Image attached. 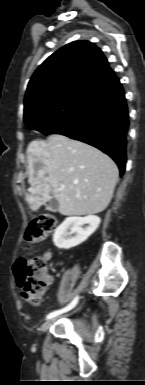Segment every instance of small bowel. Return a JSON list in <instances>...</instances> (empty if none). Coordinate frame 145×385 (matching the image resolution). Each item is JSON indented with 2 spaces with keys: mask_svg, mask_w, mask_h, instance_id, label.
Segmentation results:
<instances>
[{
  "mask_svg": "<svg viewBox=\"0 0 145 385\" xmlns=\"http://www.w3.org/2000/svg\"><path fill=\"white\" fill-rule=\"evenodd\" d=\"M50 277V282H52L53 281V278L51 277V276H49Z\"/></svg>",
  "mask_w": 145,
  "mask_h": 385,
  "instance_id": "c3829d8e",
  "label": "small bowel"
}]
</instances>
